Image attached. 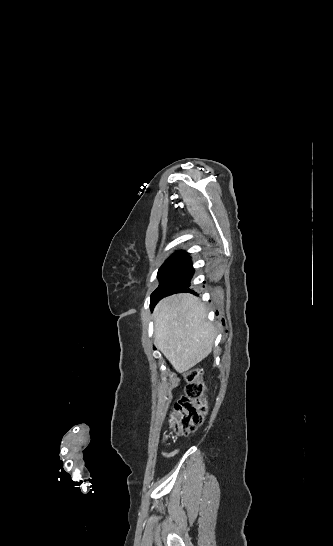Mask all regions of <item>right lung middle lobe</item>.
Instances as JSON below:
<instances>
[{
  "mask_svg": "<svg viewBox=\"0 0 333 546\" xmlns=\"http://www.w3.org/2000/svg\"><path fill=\"white\" fill-rule=\"evenodd\" d=\"M185 255H186V253L177 252V253L173 254L172 256H170L158 270L157 277H158L159 281L166 274V272L170 268H172L174 265H176L182 258H184ZM154 293L155 292L152 293L151 298L153 297Z\"/></svg>",
  "mask_w": 333,
  "mask_h": 546,
  "instance_id": "right-lung-middle-lobe-1",
  "label": "right lung middle lobe"
}]
</instances>
